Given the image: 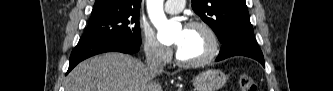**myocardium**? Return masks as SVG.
<instances>
[{"instance_id": "myocardium-1", "label": "myocardium", "mask_w": 333, "mask_h": 91, "mask_svg": "<svg viewBox=\"0 0 333 91\" xmlns=\"http://www.w3.org/2000/svg\"><path fill=\"white\" fill-rule=\"evenodd\" d=\"M192 27H199L205 31V33L207 34L209 41H210V49H209L208 54L205 57H203L199 60H194V61H187V60L182 59L180 57L178 51H176V54H175L176 63L179 66L187 67V68H196V67L204 66V65L212 62L219 53L218 36H217L215 30L208 23H206L205 21H202V20H192L187 23L186 28H192Z\"/></svg>"}]
</instances>
